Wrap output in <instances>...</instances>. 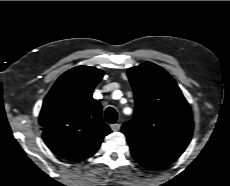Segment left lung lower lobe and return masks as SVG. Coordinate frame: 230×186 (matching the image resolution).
Instances as JSON below:
<instances>
[{"mask_svg": "<svg viewBox=\"0 0 230 186\" xmlns=\"http://www.w3.org/2000/svg\"><path fill=\"white\" fill-rule=\"evenodd\" d=\"M132 156L139 164H141L142 166L146 168H150V169L164 167L170 163L166 161L153 160V159L141 157L136 154H132Z\"/></svg>", "mask_w": 230, "mask_h": 186, "instance_id": "0a47b994", "label": "left lung lower lobe"}]
</instances>
